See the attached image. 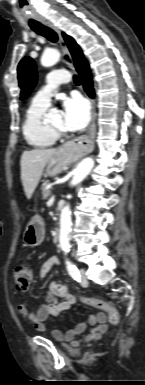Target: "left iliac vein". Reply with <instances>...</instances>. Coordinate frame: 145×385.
<instances>
[{"label": "left iliac vein", "instance_id": "left-iliac-vein-1", "mask_svg": "<svg viewBox=\"0 0 145 385\" xmlns=\"http://www.w3.org/2000/svg\"><path fill=\"white\" fill-rule=\"evenodd\" d=\"M80 282L83 284V285H86L88 283L87 281V277H86V271L85 269L81 268L80 271Z\"/></svg>", "mask_w": 145, "mask_h": 385}]
</instances>
